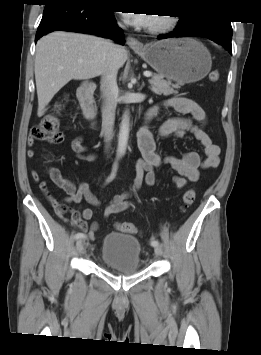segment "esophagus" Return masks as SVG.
<instances>
[{"mask_svg":"<svg viewBox=\"0 0 261 355\" xmlns=\"http://www.w3.org/2000/svg\"><path fill=\"white\" fill-rule=\"evenodd\" d=\"M127 44L133 50H141V49H143V43H141L140 41H138L137 39L132 38V37H128L127 38Z\"/></svg>","mask_w":261,"mask_h":355,"instance_id":"esophagus-1","label":"esophagus"}]
</instances>
